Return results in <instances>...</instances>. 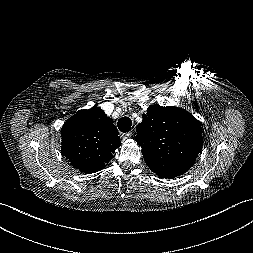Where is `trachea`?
<instances>
[{
    "label": "trachea",
    "mask_w": 253,
    "mask_h": 253,
    "mask_svg": "<svg viewBox=\"0 0 253 253\" xmlns=\"http://www.w3.org/2000/svg\"><path fill=\"white\" fill-rule=\"evenodd\" d=\"M131 125H132V121L129 117H122L118 120V129L123 132L126 133L131 129Z\"/></svg>",
    "instance_id": "obj_1"
}]
</instances>
